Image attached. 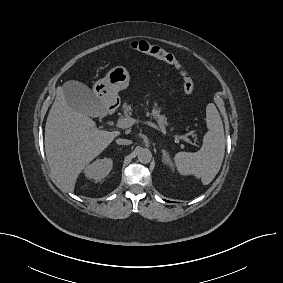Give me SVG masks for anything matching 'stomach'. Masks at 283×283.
I'll return each mask as SVG.
<instances>
[{"instance_id": "1", "label": "stomach", "mask_w": 283, "mask_h": 283, "mask_svg": "<svg viewBox=\"0 0 283 283\" xmlns=\"http://www.w3.org/2000/svg\"><path fill=\"white\" fill-rule=\"evenodd\" d=\"M129 82L128 70L123 66H116L94 84L93 92L101 105L107 107L117 103L118 92L126 89Z\"/></svg>"}]
</instances>
